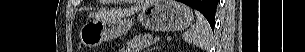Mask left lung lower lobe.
Wrapping results in <instances>:
<instances>
[{
  "label": "left lung lower lobe",
  "mask_w": 305,
  "mask_h": 52,
  "mask_svg": "<svg viewBox=\"0 0 305 52\" xmlns=\"http://www.w3.org/2000/svg\"><path fill=\"white\" fill-rule=\"evenodd\" d=\"M180 2L192 6L199 10L203 15L206 11H214L218 4V0H180ZM211 28L214 30V25H211Z\"/></svg>",
  "instance_id": "1"
}]
</instances>
